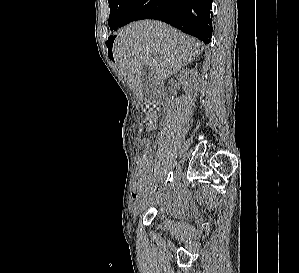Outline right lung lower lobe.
<instances>
[{
  "label": "right lung lower lobe",
  "instance_id": "right-lung-lower-lobe-1",
  "mask_svg": "<svg viewBox=\"0 0 299 273\" xmlns=\"http://www.w3.org/2000/svg\"><path fill=\"white\" fill-rule=\"evenodd\" d=\"M212 0H134L120 27L140 19L164 21L208 44L212 36Z\"/></svg>",
  "mask_w": 299,
  "mask_h": 273
}]
</instances>
